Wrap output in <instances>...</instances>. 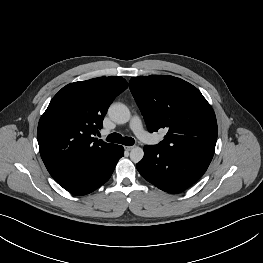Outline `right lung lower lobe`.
Segmentation results:
<instances>
[{"label": "right lung lower lobe", "instance_id": "98d812e1", "mask_svg": "<svg viewBox=\"0 0 263 263\" xmlns=\"http://www.w3.org/2000/svg\"><path fill=\"white\" fill-rule=\"evenodd\" d=\"M123 156V147L116 145L111 151L58 184L73 194H88L109 180L118 160Z\"/></svg>", "mask_w": 263, "mask_h": 263}]
</instances>
